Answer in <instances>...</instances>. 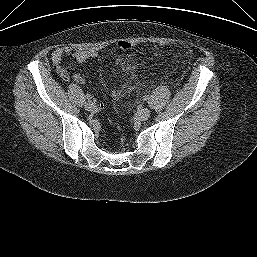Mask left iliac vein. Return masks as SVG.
Instances as JSON below:
<instances>
[{
	"mask_svg": "<svg viewBox=\"0 0 257 257\" xmlns=\"http://www.w3.org/2000/svg\"><path fill=\"white\" fill-rule=\"evenodd\" d=\"M150 115H151V111L148 108L141 109L137 113V117L141 121L147 120L150 117Z\"/></svg>",
	"mask_w": 257,
	"mask_h": 257,
	"instance_id": "4c4485c4",
	"label": "left iliac vein"
}]
</instances>
